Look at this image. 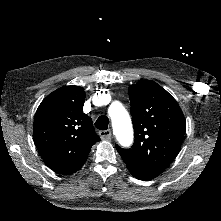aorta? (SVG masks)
Segmentation results:
<instances>
[{"label":"aorta","mask_w":221,"mask_h":221,"mask_svg":"<svg viewBox=\"0 0 221 221\" xmlns=\"http://www.w3.org/2000/svg\"><path fill=\"white\" fill-rule=\"evenodd\" d=\"M109 116L119 142L124 146L130 145L133 141V128L127 110L120 102H114L109 107Z\"/></svg>","instance_id":"aorta-1"}]
</instances>
